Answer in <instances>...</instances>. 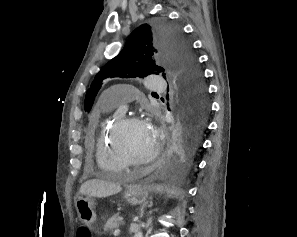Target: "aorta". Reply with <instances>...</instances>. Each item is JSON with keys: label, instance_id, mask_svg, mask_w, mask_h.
Returning <instances> with one entry per match:
<instances>
[{"label": "aorta", "instance_id": "aorta-1", "mask_svg": "<svg viewBox=\"0 0 297 237\" xmlns=\"http://www.w3.org/2000/svg\"><path fill=\"white\" fill-rule=\"evenodd\" d=\"M134 237H143L142 231H138L134 234Z\"/></svg>", "mask_w": 297, "mask_h": 237}]
</instances>
